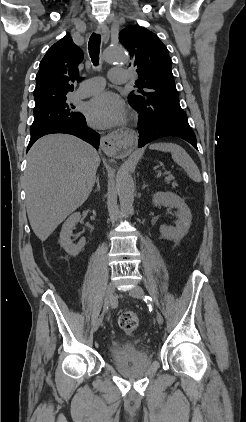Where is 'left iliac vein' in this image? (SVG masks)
<instances>
[{"label":"left iliac vein","mask_w":246,"mask_h":422,"mask_svg":"<svg viewBox=\"0 0 246 422\" xmlns=\"http://www.w3.org/2000/svg\"><path fill=\"white\" fill-rule=\"evenodd\" d=\"M129 295L134 297V298H142L144 296V291L141 287L135 286L129 291ZM156 320H157L158 324H160V325L163 324L164 319H163V316L161 315V313L157 312Z\"/></svg>","instance_id":"left-iliac-vein-1"}]
</instances>
